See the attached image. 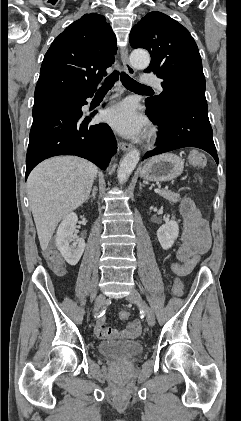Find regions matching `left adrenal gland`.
Listing matches in <instances>:
<instances>
[{
  "label": "left adrenal gland",
  "instance_id": "a2214340",
  "mask_svg": "<svg viewBox=\"0 0 241 421\" xmlns=\"http://www.w3.org/2000/svg\"><path fill=\"white\" fill-rule=\"evenodd\" d=\"M142 187H144V184L140 183L139 189L142 190Z\"/></svg>",
  "mask_w": 241,
  "mask_h": 421
}]
</instances>
